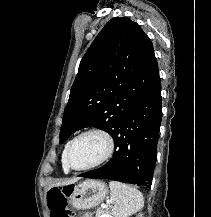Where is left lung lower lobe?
Here are the masks:
<instances>
[{
  "label": "left lung lower lobe",
  "mask_w": 211,
  "mask_h": 217,
  "mask_svg": "<svg viewBox=\"0 0 211 217\" xmlns=\"http://www.w3.org/2000/svg\"><path fill=\"white\" fill-rule=\"evenodd\" d=\"M161 100V81L158 78L114 128L112 137L116 151L111 160L101 168L79 176L150 188L162 119Z\"/></svg>",
  "instance_id": "obj_1"
}]
</instances>
